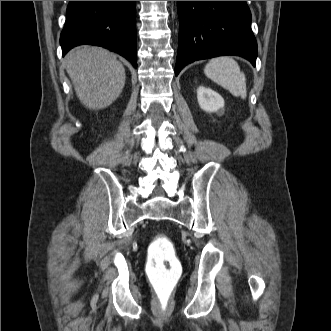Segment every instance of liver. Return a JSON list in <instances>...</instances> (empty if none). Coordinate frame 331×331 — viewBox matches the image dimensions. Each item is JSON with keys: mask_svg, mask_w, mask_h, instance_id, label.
<instances>
[{"mask_svg": "<svg viewBox=\"0 0 331 331\" xmlns=\"http://www.w3.org/2000/svg\"><path fill=\"white\" fill-rule=\"evenodd\" d=\"M64 63L76 95L85 107L106 108L121 94L125 68L112 52L95 46H79L68 52Z\"/></svg>", "mask_w": 331, "mask_h": 331, "instance_id": "obj_1", "label": "liver"}]
</instances>
